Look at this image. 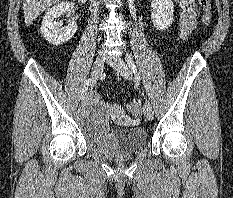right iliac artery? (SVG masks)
Segmentation results:
<instances>
[{"instance_id": "obj_1", "label": "right iliac artery", "mask_w": 233, "mask_h": 198, "mask_svg": "<svg viewBox=\"0 0 233 198\" xmlns=\"http://www.w3.org/2000/svg\"><path fill=\"white\" fill-rule=\"evenodd\" d=\"M91 83H92V78H89L85 81L82 92H81V96H80L81 100L85 99L88 87L90 86Z\"/></svg>"}]
</instances>
